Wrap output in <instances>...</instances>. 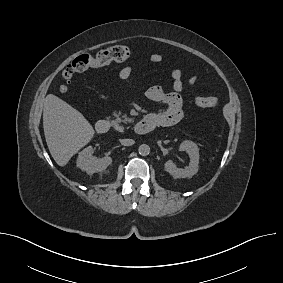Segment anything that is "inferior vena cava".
I'll use <instances>...</instances> for the list:
<instances>
[{
	"label": "inferior vena cava",
	"mask_w": 283,
	"mask_h": 283,
	"mask_svg": "<svg viewBox=\"0 0 283 283\" xmlns=\"http://www.w3.org/2000/svg\"><path fill=\"white\" fill-rule=\"evenodd\" d=\"M120 143L123 146H131V145H133L135 143V141L133 139H121Z\"/></svg>",
	"instance_id": "obj_1"
}]
</instances>
